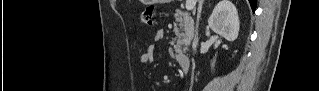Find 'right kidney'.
<instances>
[{"mask_svg":"<svg viewBox=\"0 0 319 91\" xmlns=\"http://www.w3.org/2000/svg\"><path fill=\"white\" fill-rule=\"evenodd\" d=\"M208 25L216 34L223 36L228 41H234L239 32L236 7L229 0H221L210 15Z\"/></svg>","mask_w":319,"mask_h":91,"instance_id":"ca27d5eb","label":"right kidney"}]
</instances>
